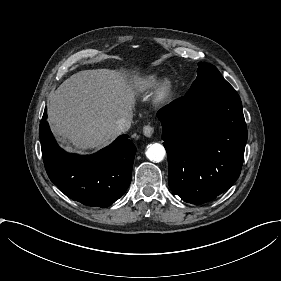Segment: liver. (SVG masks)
Wrapping results in <instances>:
<instances>
[{"label":"liver","mask_w":281,"mask_h":281,"mask_svg":"<svg viewBox=\"0 0 281 281\" xmlns=\"http://www.w3.org/2000/svg\"><path fill=\"white\" fill-rule=\"evenodd\" d=\"M142 65L79 71L50 95L47 122L56 141L86 153L109 146L120 135L116 121L133 114L151 83Z\"/></svg>","instance_id":"6515ba94"}]
</instances>
